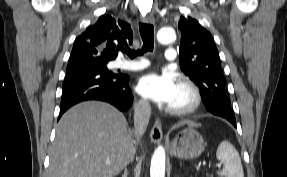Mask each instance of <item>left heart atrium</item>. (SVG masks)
Listing matches in <instances>:
<instances>
[{
	"label": "left heart atrium",
	"mask_w": 287,
	"mask_h": 177,
	"mask_svg": "<svg viewBox=\"0 0 287 177\" xmlns=\"http://www.w3.org/2000/svg\"><path fill=\"white\" fill-rule=\"evenodd\" d=\"M178 88L175 76L167 71L142 76L137 83V92L144 98L159 104H169Z\"/></svg>",
	"instance_id": "1"
}]
</instances>
